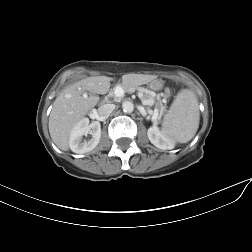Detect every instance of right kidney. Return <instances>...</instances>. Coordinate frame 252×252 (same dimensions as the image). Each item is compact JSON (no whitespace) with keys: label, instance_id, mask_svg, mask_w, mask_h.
Here are the masks:
<instances>
[{"label":"right kidney","instance_id":"1","mask_svg":"<svg viewBox=\"0 0 252 252\" xmlns=\"http://www.w3.org/2000/svg\"><path fill=\"white\" fill-rule=\"evenodd\" d=\"M91 134L89 141H83V136ZM101 138V125L99 121L89 124V119L84 118L72 129L69 138V147L74 153L82 154L93 150Z\"/></svg>","mask_w":252,"mask_h":252}]
</instances>
